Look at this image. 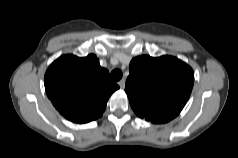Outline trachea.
I'll return each mask as SVG.
<instances>
[{
    "instance_id": "trachea-1",
    "label": "trachea",
    "mask_w": 238,
    "mask_h": 158,
    "mask_svg": "<svg viewBox=\"0 0 238 158\" xmlns=\"http://www.w3.org/2000/svg\"><path fill=\"white\" fill-rule=\"evenodd\" d=\"M111 77L114 81H119L122 78V72L119 69H115L111 72Z\"/></svg>"
}]
</instances>
